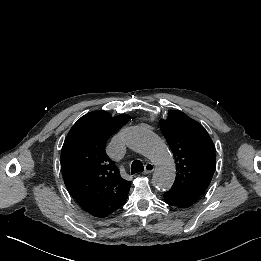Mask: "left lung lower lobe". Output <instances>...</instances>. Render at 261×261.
Here are the masks:
<instances>
[{
    "label": "left lung lower lobe",
    "instance_id": "0a47b994",
    "mask_svg": "<svg viewBox=\"0 0 261 261\" xmlns=\"http://www.w3.org/2000/svg\"><path fill=\"white\" fill-rule=\"evenodd\" d=\"M164 198L167 204L180 208L189 207L197 201V198L181 193L180 191L172 188L168 192L164 193Z\"/></svg>",
    "mask_w": 261,
    "mask_h": 261
}]
</instances>
